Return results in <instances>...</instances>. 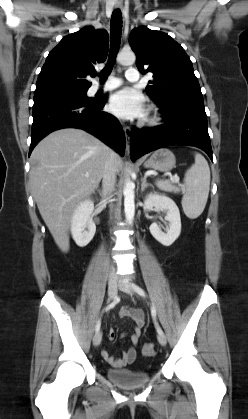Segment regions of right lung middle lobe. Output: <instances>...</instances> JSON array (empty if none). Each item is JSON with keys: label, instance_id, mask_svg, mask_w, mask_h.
Returning <instances> with one entry per match:
<instances>
[{"label": "right lung middle lobe", "instance_id": "1", "mask_svg": "<svg viewBox=\"0 0 248 419\" xmlns=\"http://www.w3.org/2000/svg\"><path fill=\"white\" fill-rule=\"evenodd\" d=\"M87 90H62L57 92H51L46 94H38L34 95V99L42 98V97H48V96H65V97H71V98H79L83 100H91L90 98H87ZM94 100V99H92Z\"/></svg>", "mask_w": 248, "mask_h": 419}]
</instances>
